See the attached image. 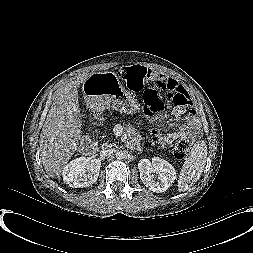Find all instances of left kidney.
I'll list each match as a JSON object with an SVG mask.
<instances>
[{
	"label": "left kidney",
	"instance_id": "1",
	"mask_svg": "<svg viewBox=\"0 0 253 253\" xmlns=\"http://www.w3.org/2000/svg\"><path fill=\"white\" fill-rule=\"evenodd\" d=\"M138 169L144 185L156 193L166 191L176 179L174 167L159 157L152 158V161L141 159Z\"/></svg>",
	"mask_w": 253,
	"mask_h": 253
}]
</instances>
